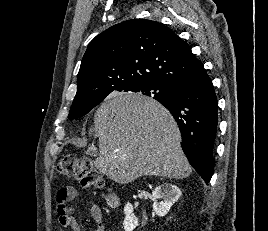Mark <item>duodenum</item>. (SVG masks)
<instances>
[{"instance_id": "1", "label": "duodenum", "mask_w": 268, "mask_h": 231, "mask_svg": "<svg viewBox=\"0 0 268 231\" xmlns=\"http://www.w3.org/2000/svg\"><path fill=\"white\" fill-rule=\"evenodd\" d=\"M117 197H115V196H110L109 198H108V203H109V205H111V206H116V204H117Z\"/></svg>"}]
</instances>
